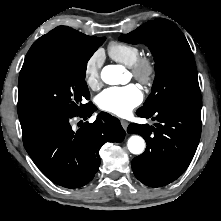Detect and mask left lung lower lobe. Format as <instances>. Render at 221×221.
Returning <instances> with one entry per match:
<instances>
[{"label": "left lung lower lobe", "mask_w": 221, "mask_h": 221, "mask_svg": "<svg viewBox=\"0 0 221 221\" xmlns=\"http://www.w3.org/2000/svg\"><path fill=\"white\" fill-rule=\"evenodd\" d=\"M136 113L158 123L155 127L128 126V133L139 134L147 142L145 152L132 160L134 175L147 186H165L183 174L195 154L201 135V108L157 103Z\"/></svg>", "instance_id": "1"}]
</instances>
